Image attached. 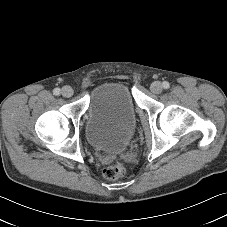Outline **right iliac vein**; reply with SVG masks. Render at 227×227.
Returning a JSON list of instances; mask_svg holds the SVG:
<instances>
[{
	"mask_svg": "<svg viewBox=\"0 0 227 227\" xmlns=\"http://www.w3.org/2000/svg\"><path fill=\"white\" fill-rule=\"evenodd\" d=\"M61 93L64 97L69 98L73 95V89L70 86H64Z\"/></svg>",
	"mask_w": 227,
	"mask_h": 227,
	"instance_id": "obj_1",
	"label": "right iliac vein"
}]
</instances>
